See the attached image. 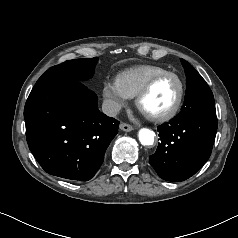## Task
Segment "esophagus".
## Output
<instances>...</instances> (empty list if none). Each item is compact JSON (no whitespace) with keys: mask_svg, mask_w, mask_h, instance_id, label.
<instances>
[{"mask_svg":"<svg viewBox=\"0 0 238 238\" xmlns=\"http://www.w3.org/2000/svg\"><path fill=\"white\" fill-rule=\"evenodd\" d=\"M120 129L125 131V132H130L133 130V126L132 125H129L127 123H120L119 125Z\"/></svg>","mask_w":238,"mask_h":238,"instance_id":"1","label":"esophagus"}]
</instances>
